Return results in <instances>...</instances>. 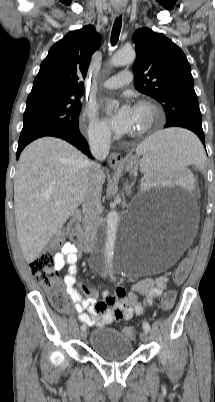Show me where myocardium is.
<instances>
[{
	"mask_svg": "<svg viewBox=\"0 0 215 402\" xmlns=\"http://www.w3.org/2000/svg\"><path fill=\"white\" fill-rule=\"evenodd\" d=\"M135 108L144 109V110H146V112L148 114V119H147L146 124L139 131L132 133L130 135L133 138H139V137L145 136L147 133H149L152 130V128L154 127V125L157 121V118L160 114V110L153 101L147 100V99L139 100L135 104Z\"/></svg>",
	"mask_w": 215,
	"mask_h": 402,
	"instance_id": "1",
	"label": "myocardium"
}]
</instances>
